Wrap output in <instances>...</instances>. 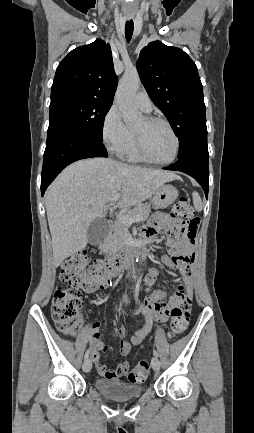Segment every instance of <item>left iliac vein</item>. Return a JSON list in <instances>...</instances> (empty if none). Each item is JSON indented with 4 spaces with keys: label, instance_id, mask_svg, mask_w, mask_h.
I'll return each mask as SVG.
<instances>
[{
    "label": "left iliac vein",
    "instance_id": "4c4485c4",
    "mask_svg": "<svg viewBox=\"0 0 254 433\" xmlns=\"http://www.w3.org/2000/svg\"><path fill=\"white\" fill-rule=\"evenodd\" d=\"M151 366L155 371H158L160 369V361L157 357L152 358Z\"/></svg>",
    "mask_w": 254,
    "mask_h": 433
}]
</instances>
